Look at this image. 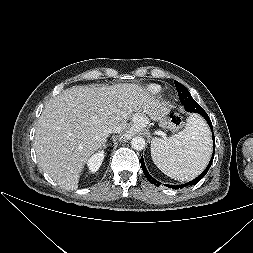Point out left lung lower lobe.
<instances>
[{
	"label": "left lung lower lobe",
	"instance_id": "0a47b994",
	"mask_svg": "<svg viewBox=\"0 0 253 253\" xmlns=\"http://www.w3.org/2000/svg\"><path fill=\"white\" fill-rule=\"evenodd\" d=\"M194 113H198L200 115H202L205 120L207 121L209 127L211 128V130L213 129L212 127V123H211V120L208 116V114L204 111V109L198 105L195 110H194ZM212 137H213V145H214V149H213V154H212V157H211V160L207 166V168L197 177L195 178L194 180L186 183V184H182V185H165L166 187H169V188H172V189H181L183 187H187L189 185H195L197 184L205 175L206 173L208 172L212 162H213V158H214V153H215V138H214V133H212ZM141 167H142V170H143V173L144 175L146 176L147 180L149 182H151L152 184L156 185V186H159L161 183L158 182L157 180H155L150 174L149 172L147 171L146 167H145V164H144V160H143V156L141 157Z\"/></svg>",
	"mask_w": 253,
	"mask_h": 253
}]
</instances>
